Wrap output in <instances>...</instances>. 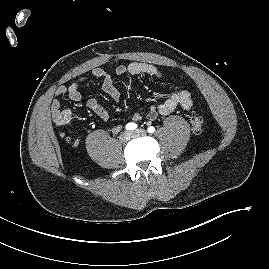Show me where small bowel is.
Instances as JSON below:
<instances>
[{
    "label": "small bowel",
    "instance_id": "small-bowel-1",
    "mask_svg": "<svg viewBox=\"0 0 269 269\" xmlns=\"http://www.w3.org/2000/svg\"><path fill=\"white\" fill-rule=\"evenodd\" d=\"M117 75H145L154 80L165 82L167 77L162 70L156 66L143 62H131L127 65H119L115 69ZM93 76L102 80V87L104 92L113 100H119L120 92L114 85L113 76L101 68H95L92 72ZM86 77H80L73 81L69 86H60L54 93V98L51 102V113L55 122L62 126H67L71 122V114L67 110L61 108L60 99L67 95L68 98L74 102H80L82 95L80 93V86L86 81ZM87 107L95 113L101 120L108 121L110 118L109 112L98 102L95 98H89L86 102ZM192 98L190 92L185 88H179L173 92L165 101L158 106H151L147 112L149 120H155L159 115H168L172 113L177 107L185 111L192 108ZM68 117V121H64V117ZM142 115L135 112L132 115L133 121H140ZM121 130L120 125H115L112 128L113 133H118Z\"/></svg>",
    "mask_w": 269,
    "mask_h": 269
}]
</instances>
